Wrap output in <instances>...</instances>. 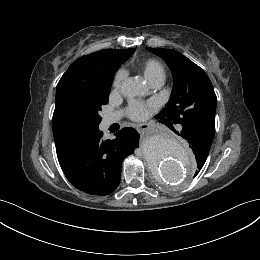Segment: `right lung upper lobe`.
I'll use <instances>...</instances> for the list:
<instances>
[{
	"instance_id": "cb5924a9",
	"label": "right lung upper lobe",
	"mask_w": 260,
	"mask_h": 260,
	"mask_svg": "<svg viewBox=\"0 0 260 260\" xmlns=\"http://www.w3.org/2000/svg\"><path fill=\"white\" fill-rule=\"evenodd\" d=\"M131 49H107L101 50L94 53H91L86 56H82L75 60L68 68V70L64 73V76L73 75V74H83L91 69L102 66L105 63L110 61L123 58L126 56ZM61 136L54 135L55 139L60 138Z\"/></svg>"
}]
</instances>
